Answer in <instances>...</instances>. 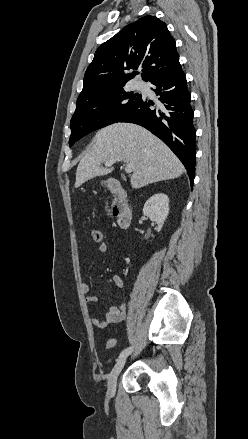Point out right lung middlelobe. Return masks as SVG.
I'll list each match as a JSON object with an SVG mask.
<instances>
[{
    "instance_id": "right-lung-middle-lobe-1",
    "label": "right lung middle lobe",
    "mask_w": 248,
    "mask_h": 439,
    "mask_svg": "<svg viewBox=\"0 0 248 439\" xmlns=\"http://www.w3.org/2000/svg\"><path fill=\"white\" fill-rule=\"evenodd\" d=\"M141 98L120 88L78 106L70 123V147L90 132L119 122Z\"/></svg>"
}]
</instances>
